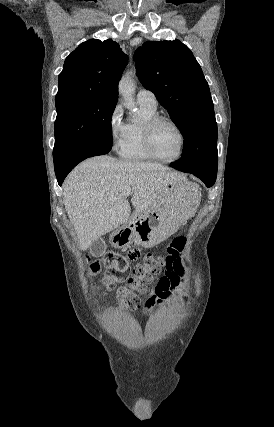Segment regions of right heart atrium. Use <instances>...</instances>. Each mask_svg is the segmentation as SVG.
Returning a JSON list of instances; mask_svg holds the SVG:
<instances>
[{"instance_id":"obj_1","label":"right heart atrium","mask_w":274,"mask_h":427,"mask_svg":"<svg viewBox=\"0 0 274 427\" xmlns=\"http://www.w3.org/2000/svg\"><path fill=\"white\" fill-rule=\"evenodd\" d=\"M126 124L121 120L120 110L115 107L111 110L107 121L108 137L113 149H118L125 134Z\"/></svg>"}]
</instances>
